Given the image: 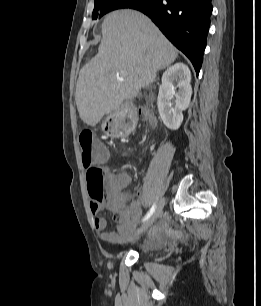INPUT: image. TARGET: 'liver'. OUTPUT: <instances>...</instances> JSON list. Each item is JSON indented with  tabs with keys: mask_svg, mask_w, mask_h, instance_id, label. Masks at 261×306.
I'll use <instances>...</instances> for the list:
<instances>
[{
	"mask_svg": "<svg viewBox=\"0 0 261 306\" xmlns=\"http://www.w3.org/2000/svg\"><path fill=\"white\" fill-rule=\"evenodd\" d=\"M177 56L176 48L144 14L132 9L109 13L102 23L98 54L79 73L75 101L80 118L96 125L153 83L157 72ZM121 72L128 74L124 82L117 79Z\"/></svg>",
	"mask_w": 261,
	"mask_h": 306,
	"instance_id": "obj_1",
	"label": "liver"
}]
</instances>
